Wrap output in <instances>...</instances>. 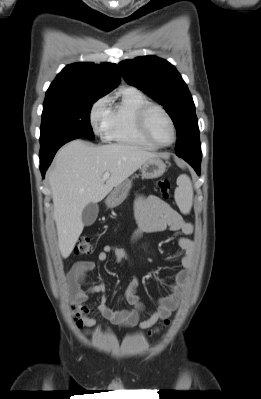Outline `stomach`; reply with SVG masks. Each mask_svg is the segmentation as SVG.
<instances>
[{"label": "stomach", "mask_w": 261, "mask_h": 399, "mask_svg": "<svg viewBox=\"0 0 261 399\" xmlns=\"http://www.w3.org/2000/svg\"><path fill=\"white\" fill-rule=\"evenodd\" d=\"M142 177L145 179H155L162 176L166 170V165L159 157H154L147 160L140 167ZM132 181L126 179L110 192L105 200L108 208H115L119 206L128 196L131 189Z\"/></svg>", "instance_id": "0dacf381"}]
</instances>
